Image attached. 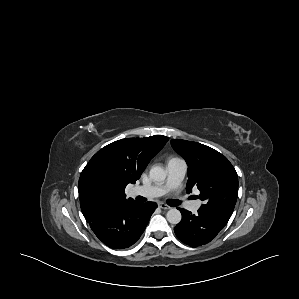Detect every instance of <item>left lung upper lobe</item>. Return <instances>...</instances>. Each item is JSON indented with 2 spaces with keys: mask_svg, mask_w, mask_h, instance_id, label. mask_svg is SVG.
<instances>
[{
  "mask_svg": "<svg viewBox=\"0 0 299 299\" xmlns=\"http://www.w3.org/2000/svg\"><path fill=\"white\" fill-rule=\"evenodd\" d=\"M173 148L188 165L186 191L200 190V211L226 225L238 195V176L229 160L218 151L192 141L173 139Z\"/></svg>",
  "mask_w": 299,
  "mask_h": 299,
  "instance_id": "left-lung-upper-lobe-1",
  "label": "left lung upper lobe"
}]
</instances>
